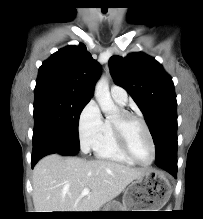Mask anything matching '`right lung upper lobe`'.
Instances as JSON below:
<instances>
[{"instance_id":"obj_1","label":"right lung upper lobe","mask_w":203,"mask_h":219,"mask_svg":"<svg viewBox=\"0 0 203 219\" xmlns=\"http://www.w3.org/2000/svg\"><path fill=\"white\" fill-rule=\"evenodd\" d=\"M100 74L99 63L87 52L85 45L68 46L42 64L36 88L59 89L90 100Z\"/></svg>"}]
</instances>
